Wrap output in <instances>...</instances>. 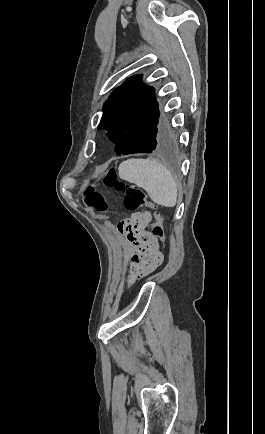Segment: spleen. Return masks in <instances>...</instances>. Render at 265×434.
Wrapping results in <instances>:
<instances>
[{
  "label": "spleen",
  "instance_id": "obj_1",
  "mask_svg": "<svg viewBox=\"0 0 265 434\" xmlns=\"http://www.w3.org/2000/svg\"><path fill=\"white\" fill-rule=\"evenodd\" d=\"M119 178L143 188L158 206L174 208L177 204V184L168 168L158 160H126L119 168Z\"/></svg>",
  "mask_w": 265,
  "mask_h": 434
}]
</instances>
